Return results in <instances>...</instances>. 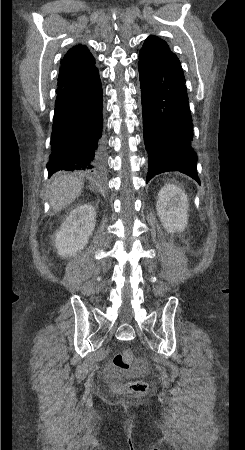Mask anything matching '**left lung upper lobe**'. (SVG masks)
<instances>
[{
    "label": "left lung upper lobe",
    "mask_w": 245,
    "mask_h": 450,
    "mask_svg": "<svg viewBox=\"0 0 245 450\" xmlns=\"http://www.w3.org/2000/svg\"><path fill=\"white\" fill-rule=\"evenodd\" d=\"M139 61L150 65L167 64L185 80L179 59L160 38L149 36L145 40L139 53Z\"/></svg>",
    "instance_id": "5c2ea615"
}]
</instances>
